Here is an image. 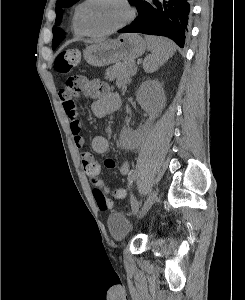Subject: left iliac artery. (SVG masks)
<instances>
[{"label":"left iliac artery","instance_id":"obj_1","mask_svg":"<svg viewBox=\"0 0 245 300\" xmlns=\"http://www.w3.org/2000/svg\"><path fill=\"white\" fill-rule=\"evenodd\" d=\"M135 177H136V173H135V172L131 173V174L129 175V178H128L129 182L132 183L133 180L135 179ZM129 186H130V185H129ZM132 199H133V198H132ZM132 208H133V212L136 213V212L138 211V209H139V202L136 201V200H133V201H132Z\"/></svg>","mask_w":245,"mask_h":300}]
</instances>
